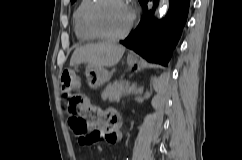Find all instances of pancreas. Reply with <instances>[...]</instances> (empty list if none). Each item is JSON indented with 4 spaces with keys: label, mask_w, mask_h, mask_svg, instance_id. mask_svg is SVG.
<instances>
[{
    "label": "pancreas",
    "mask_w": 242,
    "mask_h": 160,
    "mask_svg": "<svg viewBox=\"0 0 242 160\" xmlns=\"http://www.w3.org/2000/svg\"><path fill=\"white\" fill-rule=\"evenodd\" d=\"M131 89L137 92L135 85L130 86L129 83L115 81L106 86L101 97L104 101L108 99L110 102H119L122 97L129 95Z\"/></svg>",
    "instance_id": "obj_1"
}]
</instances>
